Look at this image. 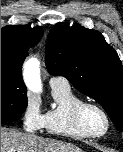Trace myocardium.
<instances>
[{
	"mask_svg": "<svg viewBox=\"0 0 123 152\" xmlns=\"http://www.w3.org/2000/svg\"><path fill=\"white\" fill-rule=\"evenodd\" d=\"M88 108H94L103 115L106 121V128L102 133L94 134L85 127L84 122H83V115H84L85 110ZM73 121L77 129L86 137H90V138L103 137L104 135L107 134L111 125V121H110V117L108 113L100 105L93 102H88V101H81L77 105H75L73 109Z\"/></svg>",
	"mask_w": 123,
	"mask_h": 152,
	"instance_id": "myocardium-1",
	"label": "myocardium"
}]
</instances>
